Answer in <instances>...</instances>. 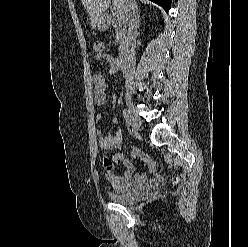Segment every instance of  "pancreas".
Listing matches in <instances>:
<instances>
[{
  "instance_id": "obj_1",
  "label": "pancreas",
  "mask_w": 248,
  "mask_h": 247,
  "mask_svg": "<svg viewBox=\"0 0 248 247\" xmlns=\"http://www.w3.org/2000/svg\"><path fill=\"white\" fill-rule=\"evenodd\" d=\"M112 25L116 30V40L119 44V55L122 57L125 55L128 48V32L121 17L114 19Z\"/></svg>"
}]
</instances>
